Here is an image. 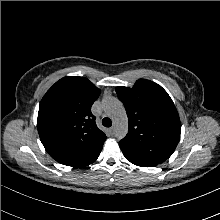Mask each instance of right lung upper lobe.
Masks as SVG:
<instances>
[{"instance_id":"obj_1","label":"right lung upper lobe","mask_w":220,"mask_h":220,"mask_svg":"<svg viewBox=\"0 0 220 220\" xmlns=\"http://www.w3.org/2000/svg\"><path fill=\"white\" fill-rule=\"evenodd\" d=\"M99 95L88 79L75 76L60 79L44 95L37 128L46 151L57 162L84 167L98 158L107 139L91 113Z\"/></svg>"}]
</instances>
